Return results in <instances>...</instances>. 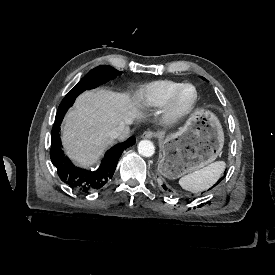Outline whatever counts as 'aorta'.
Listing matches in <instances>:
<instances>
[{"label":"aorta","mask_w":275,"mask_h":275,"mask_svg":"<svg viewBox=\"0 0 275 275\" xmlns=\"http://www.w3.org/2000/svg\"><path fill=\"white\" fill-rule=\"evenodd\" d=\"M138 152L144 157H151L155 153L154 144L150 140H141L138 143Z\"/></svg>","instance_id":"obj_1"}]
</instances>
